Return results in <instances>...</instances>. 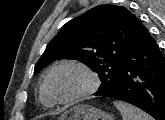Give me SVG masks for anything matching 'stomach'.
<instances>
[{
  "mask_svg": "<svg viewBox=\"0 0 165 120\" xmlns=\"http://www.w3.org/2000/svg\"><path fill=\"white\" fill-rule=\"evenodd\" d=\"M58 120H114L113 116L93 106L80 104L64 112Z\"/></svg>",
  "mask_w": 165,
  "mask_h": 120,
  "instance_id": "stomach-1",
  "label": "stomach"
}]
</instances>
